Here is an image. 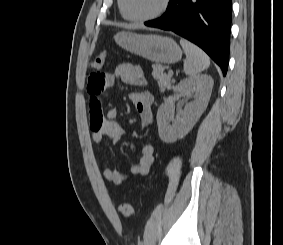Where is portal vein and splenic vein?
<instances>
[{
  "mask_svg": "<svg viewBox=\"0 0 283 245\" xmlns=\"http://www.w3.org/2000/svg\"><path fill=\"white\" fill-rule=\"evenodd\" d=\"M168 74L172 75L173 74V70L169 69Z\"/></svg>",
  "mask_w": 283,
  "mask_h": 245,
  "instance_id": "portal-vein-and-splenic-vein-1",
  "label": "portal vein and splenic vein"
}]
</instances>
